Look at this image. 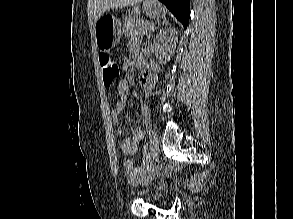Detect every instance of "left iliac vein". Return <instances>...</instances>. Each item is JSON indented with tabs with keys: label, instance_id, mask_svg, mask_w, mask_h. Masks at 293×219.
<instances>
[{
	"label": "left iliac vein",
	"instance_id": "4c4485c4",
	"mask_svg": "<svg viewBox=\"0 0 293 219\" xmlns=\"http://www.w3.org/2000/svg\"><path fill=\"white\" fill-rule=\"evenodd\" d=\"M148 132H149L150 148L152 151V162H153L158 156L159 139H158L157 130L154 126H150Z\"/></svg>",
	"mask_w": 293,
	"mask_h": 219
}]
</instances>
